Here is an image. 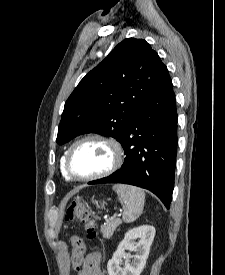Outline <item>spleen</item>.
Listing matches in <instances>:
<instances>
[{"mask_svg": "<svg viewBox=\"0 0 225 275\" xmlns=\"http://www.w3.org/2000/svg\"><path fill=\"white\" fill-rule=\"evenodd\" d=\"M113 190L123 206L122 219L125 223L134 222L143 212L145 193L141 188L125 184H116Z\"/></svg>", "mask_w": 225, "mask_h": 275, "instance_id": "1", "label": "spleen"}]
</instances>
